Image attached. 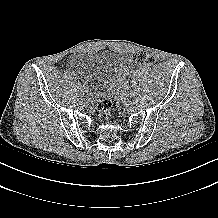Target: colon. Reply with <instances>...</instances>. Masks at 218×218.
Listing matches in <instances>:
<instances>
[{
  "label": "colon",
  "mask_w": 218,
  "mask_h": 218,
  "mask_svg": "<svg viewBox=\"0 0 218 218\" xmlns=\"http://www.w3.org/2000/svg\"><path fill=\"white\" fill-rule=\"evenodd\" d=\"M132 60L141 65H152L155 58L146 51H140L132 56ZM112 102L109 98H104L96 103V111L102 120H108L111 117Z\"/></svg>",
  "instance_id": "1"
}]
</instances>
